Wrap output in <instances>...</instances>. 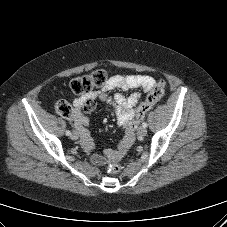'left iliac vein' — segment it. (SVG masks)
<instances>
[{"label": "left iliac vein", "mask_w": 227, "mask_h": 227, "mask_svg": "<svg viewBox=\"0 0 227 227\" xmlns=\"http://www.w3.org/2000/svg\"><path fill=\"white\" fill-rule=\"evenodd\" d=\"M147 134V130L144 127H140L138 129V135L145 136Z\"/></svg>", "instance_id": "1"}]
</instances>
